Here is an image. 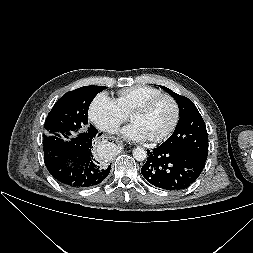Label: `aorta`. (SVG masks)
<instances>
[{"label":"aorta","mask_w":253,"mask_h":253,"mask_svg":"<svg viewBox=\"0 0 253 253\" xmlns=\"http://www.w3.org/2000/svg\"><path fill=\"white\" fill-rule=\"evenodd\" d=\"M133 157L137 161H144L147 158V152L142 147H137L133 150Z\"/></svg>","instance_id":"762f6f07"}]
</instances>
